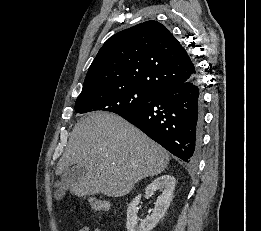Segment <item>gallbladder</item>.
<instances>
[{"label": "gallbladder", "instance_id": "gallbladder-1", "mask_svg": "<svg viewBox=\"0 0 261 231\" xmlns=\"http://www.w3.org/2000/svg\"><path fill=\"white\" fill-rule=\"evenodd\" d=\"M87 173V170L84 167L81 166H75L73 168H70L67 173H65L61 178V183L66 186L68 182H76L81 177H83ZM65 189H60L55 193L56 199L60 200L63 195Z\"/></svg>", "mask_w": 261, "mask_h": 231}]
</instances>
